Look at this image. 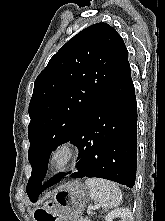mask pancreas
<instances>
[{"label":"pancreas","mask_w":165,"mask_h":221,"mask_svg":"<svg viewBox=\"0 0 165 221\" xmlns=\"http://www.w3.org/2000/svg\"><path fill=\"white\" fill-rule=\"evenodd\" d=\"M78 221H84L83 219H79Z\"/></svg>","instance_id":"obj_1"}]
</instances>
